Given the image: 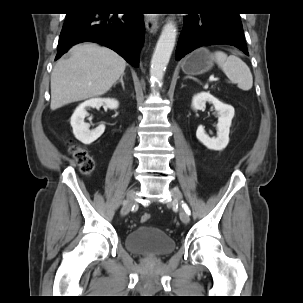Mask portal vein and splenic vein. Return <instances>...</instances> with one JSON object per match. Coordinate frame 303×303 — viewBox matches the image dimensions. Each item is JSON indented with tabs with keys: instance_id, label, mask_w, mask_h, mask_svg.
I'll use <instances>...</instances> for the list:
<instances>
[{
	"instance_id": "obj_1",
	"label": "portal vein and splenic vein",
	"mask_w": 303,
	"mask_h": 303,
	"mask_svg": "<svg viewBox=\"0 0 303 303\" xmlns=\"http://www.w3.org/2000/svg\"><path fill=\"white\" fill-rule=\"evenodd\" d=\"M217 80H218V78H215L213 75L210 76V78H209V81H217Z\"/></svg>"
}]
</instances>
